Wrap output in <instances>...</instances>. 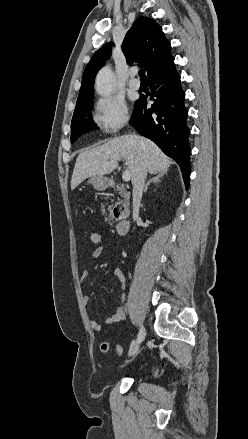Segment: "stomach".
<instances>
[{
    "label": "stomach",
    "instance_id": "0dacf381",
    "mask_svg": "<svg viewBox=\"0 0 248 439\" xmlns=\"http://www.w3.org/2000/svg\"><path fill=\"white\" fill-rule=\"evenodd\" d=\"M109 179L105 176L96 175L89 179V183L96 189V190H105L109 185Z\"/></svg>",
    "mask_w": 248,
    "mask_h": 439
}]
</instances>
